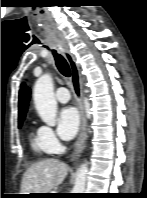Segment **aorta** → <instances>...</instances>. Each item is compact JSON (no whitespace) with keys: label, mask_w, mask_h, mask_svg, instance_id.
Returning <instances> with one entry per match:
<instances>
[{"label":"aorta","mask_w":147,"mask_h":198,"mask_svg":"<svg viewBox=\"0 0 147 198\" xmlns=\"http://www.w3.org/2000/svg\"><path fill=\"white\" fill-rule=\"evenodd\" d=\"M33 99L36 111L42 121L48 126L56 125L57 102L53 91V78L50 74L39 77L34 85ZM88 163L81 164L77 171L72 193H84Z\"/></svg>","instance_id":"762f6f07"}]
</instances>
